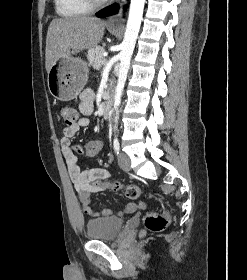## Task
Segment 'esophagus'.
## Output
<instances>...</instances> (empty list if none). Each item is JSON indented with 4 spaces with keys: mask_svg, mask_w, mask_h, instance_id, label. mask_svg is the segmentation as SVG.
I'll list each match as a JSON object with an SVG mask.
<instances>
[{
    "mask_svg": "<svg viewBox=\"0 0 247 280\" xmlns=\"http://www.w3.org/2000/svg\"><path fill=\"white\" fill-rule=\"evenodd\" d=\"M126 3V0H121L120 3H119V10L116 14L112 15L107 23L108 24H115V23H119L120 20H121V17H122V9H123V6L125 5Z\"/></svg>",
    "mask_w": 247,
    "mask_h": 280,
    "instance_id": "obj_1",
    "label": "esophagus"
}]
</instances>
